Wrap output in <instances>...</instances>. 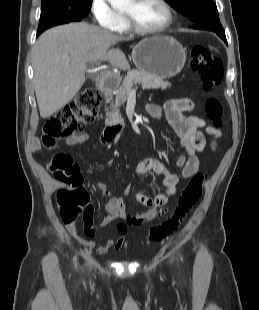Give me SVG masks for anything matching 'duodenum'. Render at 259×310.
Wrapping results in <instances>:
<instances>
[{"mask_svg":"<svg viewBox=\"0 0 259 310\" xmlns=\"http://www.w3.org/2000/svg\"><path fill=\"white\" fill-rule=\"evenodd\" d=\"M118 82L119 79L114 76L102 77L99 80V86L105 93H109L117 86ZM123 128V123L112 121L104 130L103 138L107 141L113 140L122 132Z\"/></svg>","mask_w":259,"mask_h":310,"instance_id":"duodenum-1","label":"duodenum"}]
</instances>
